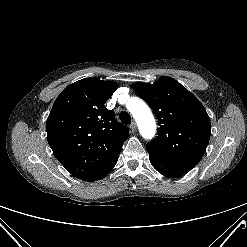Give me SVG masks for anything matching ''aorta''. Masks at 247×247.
Instances as JSON below:
<instances>
[{
  "label": "aorta",
  "instance_id": "762f6f07",
  "mask_svg": "<svg viewBox=\"0 0 247 247\" xmlns=\"http://www.w3.org/2000/svg\"><path fill=\"white\" fill-rule=\"evenodd\" d=\"M127 108L135 118L142 137L145 139L154 137L156 124L149 107L140 99L134 98L128 103Z\"/></svg>",
  "mask_w": 247,
  "mask_h": 247
}]
</instances>
